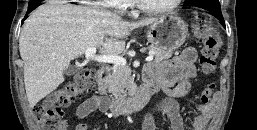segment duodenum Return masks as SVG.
Wrapping results in <instances>:
<instances>
[{
  "label": "duodenum",
  "mask_w": 257,
  "mask_h": 130,
  "mask_svg": "<svg viewBox=\"0 0 257 130\" xmlns=\"http://www.w3.org/2000/svg\"><path fill=\"white\" fill-rule=\"evenodd\" d=\"M109 68L102 67L98 70L99 94L106 100V108L113 116L132 113L142 109L158 91L159 85L153 79H145L144 84L137 93L126 99H110L107 91Z\"/></svg>",
  "instance_id": "410a0bca"
}]
</instances>
